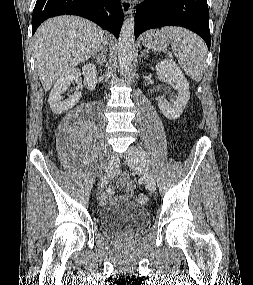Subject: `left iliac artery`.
I'll return each mask as SVG.
<instances>
[{
	"mask_svg": "<svg viewBox=\"0 0 253 285\" xmlns=\"http://www.w3.org/2000/svg\"><path fill=\"white\" fill-rule=\"evenodd\" d=\"M139 151H140V155H141L142 159L148 165L149 164V160H148L146 152L141 147H139Z\"/></svg>",
	"mask_w": 253,
	"mask_h": 285,
	"instance_id": "44dca946",
	"label": "left iliac artery"
}]
</instances>
